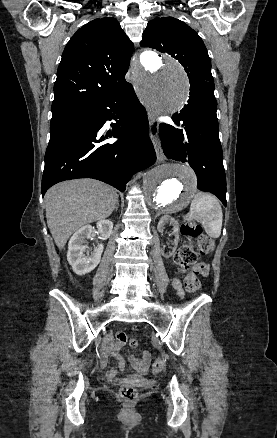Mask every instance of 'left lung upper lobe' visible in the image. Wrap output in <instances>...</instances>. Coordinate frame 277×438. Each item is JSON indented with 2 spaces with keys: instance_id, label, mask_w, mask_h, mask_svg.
Instances as JSON below:
<instances>
[{
  "instance_id": "obj_1",
  "label": "left lung upper lobe",
  "mask_w": 277,
  "mask_h": 438,
  "mask_svg": "<svg viewBox=\"0 0 277 438\" xmlns=\"http://www.w3.org/2000/svg\"><path fill=\"white\" fill-rule=\"evenodd\" d=\"M140 45L167 53L182 64L190 81V98H215L207 49L186 23L173 17L154 18L148 22Z\"/></svg>"
}]
</instances>
